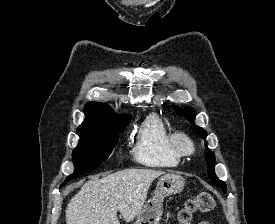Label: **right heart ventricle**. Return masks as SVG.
Wrapping results in <instances>:
<instances>
[{
    "mask_svg": "<svg viewBox=\"0 0 275 224\" xmlns=\"http://www.w3.org/2000/svg\"><path fill=\"white\" fill-rule=\"evenodd\" d=\"M170 138L171 132L164 121L155 114L148 115L133 139L135 161L147 167L178 166L181 157L173 150Z\"/></svg>",
    "mask_w": 275,
    "mask_h": 224,
    "instance_id": "obj_1",
    "label": "right heart ventricle"
}]
</instances>
